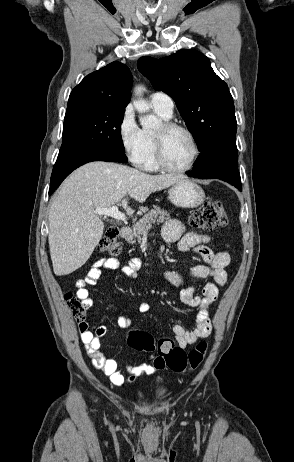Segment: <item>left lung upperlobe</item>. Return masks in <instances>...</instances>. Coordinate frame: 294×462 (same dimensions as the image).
Returning a JSON list of instances; mask_svg holds the SVG:
<instances>
[{"instance_id":"left-lung-upper-lobe-1","label":"left lung upper lobe","mask_w":294,"mask_h":462,"mask_svg":"<svg viewBox=\"0 0 294 462\" xmlns=\"http://www.w3.org/2000/svg\"><path fill=\"white\" fill-rule=\"evenodd\" d=\"M137 67L156 90L173 97L201 153L236 142L233 98L205 55L180 50L161 59L141 57Z\"/></svg>"}]
</instances>
